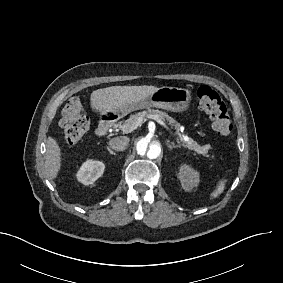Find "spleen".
I'll return each mask as SVG.
<instances>
[{"instance_id": "obj_1", "label": "spleen", "mask_w": 283, "mask_h": 283, "mask_svg": "<svg viewBox=\"0 0 283 283\" xmlns=\"http://www.w3.org/2000/svg\"><path fill=\"white\" fill-rule=\"evenodd\" d=\"M227 182L226 179H222L218 182L217 188L211 193L210 197L211 198H216L218 197L221 193H223L224 188H225V183Z\"/></svg>"}]
</instances>
